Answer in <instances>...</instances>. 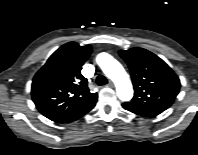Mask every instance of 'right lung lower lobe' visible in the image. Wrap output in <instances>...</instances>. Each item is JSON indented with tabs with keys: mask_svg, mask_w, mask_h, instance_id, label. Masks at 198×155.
I'll return each mask as SVG.
<instances>
[{
	"mask_svg": "<svg viewBox=\"0 0 198 155\" xmlns=\"http://www.w3.org/2000/svg\"><path fill=\"white\" fill-rule=\"evenodd\" d=\"M96 101L97 100L91 102L88 106H86L85 108H83L82 110L77 112L76 114H74L70 117L64 118V119H62L60 121H57V122L58 123H67V122H72V121H75V120L79 119L80 117H82L84 114L89 112L95 106Z\"/></svg>",
	"mask_w": 198,
	"mask_h": 155,
	"instance_id": "right-lung-lower-lobe-1",
	"label": "right lung lower lobe"
}]
</instances>
